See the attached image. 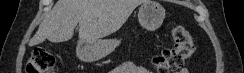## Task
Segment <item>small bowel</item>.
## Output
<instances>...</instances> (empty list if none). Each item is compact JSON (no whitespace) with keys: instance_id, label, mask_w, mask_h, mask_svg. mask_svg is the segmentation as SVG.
I'll use <instances>...</instances> for the list:
<instances>
[{"instance_id":"small-bowel-1","label":"small bowel","mask_w":244,"mask_h":73,"mask_svg":"<svg viewBox=\"0 0 244 73\" xmlns=\"http://www.w3.org/2000/svg\"><path fill=\"white\" fill-rule=\"evenodd\" d=\"M112 73H150L146 68L140 66L132 61L124 62L115 69ZM179 73H189L186 67L180 69Z\"/></svg>"}]
</instances>
